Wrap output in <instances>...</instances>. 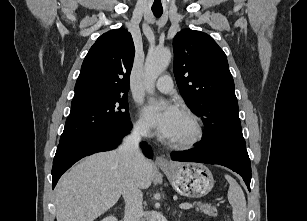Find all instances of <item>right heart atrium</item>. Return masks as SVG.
I'll use <instances>...</instances> for the list:
<instances>
[{"mask_svg": "<svg viewBox=\"0 0 307 221\" xmlns=\"http://www.w3.org/2000/svg\"><path fill=\"white\" fill-rule=\"evenodd\" d=\"M135 131L142 137L148 138L152 136V131L147 122L139 117L135 123Z\"/></svg>", "mask_w": 307, "mask_h": 221, "instance_id": "obj_1", "label": "right heart atrium"}]
</instances>
